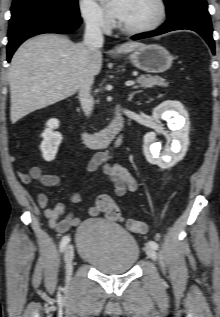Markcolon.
I'll return each instance as SVG.
<instances>
[{"instance_id": "1", "label": "colon", "mask_w": 220, "mask_h": 317, "mask_svg": "<svg viewBox=\"0 0 220 317\" xmlns=\"http://www.w3.org/2000/svg\"><path fill=\"white\" fill-rule=\"evenodd\" d=\"M103 210L105 216L112 221H121L122 216L119 207L111 198H106L103 201ZM128 229L134 233L144 234L146 232V225L138 219H128L126 221Z\"/></svg>"}]
</instances>
